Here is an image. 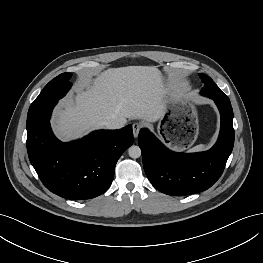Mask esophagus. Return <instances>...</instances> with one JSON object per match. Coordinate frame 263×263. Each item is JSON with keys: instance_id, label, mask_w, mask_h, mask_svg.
Segmentation results:
<instances>
[{"instance_id": "obj_1", "label": "esophagus", "mask_w": 263, "mask_h": 263, "mask_svg": "<svg viewBox=\"0 0 263 263\" xmlns=\"http://www.w3.org/2000/svg\"><path fill=\"white\" fill-rule=\"evenodd\" d=\"M132 129H133V135H134V137L137 138V137H138V134H139V132H140V129H141V124L138 123V122L133 123Z\"/></svg>"}]
</instances>
